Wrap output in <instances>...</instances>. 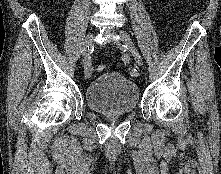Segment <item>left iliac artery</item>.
I'll use <instances>...</instances> for the list:
<instances>
[{
	"instance_id": "1",
	"label": "left iliac artery",
	"mask_w": 221,
	"mask_h": 174,
	"mask_svg": "<svg viewBox=\"0 0 221 174\" xmlns=\"http://www.w3.org/2000/svg\"><path fill=\"white\" fill-rule=\"evenodd\" d=\"M121 59H122V61L124 62V63H129V61H130V56H129V54H127V53H123L122 55H121ZM131 74L132 75H137V70L136 69H134V70H132L131 71Z\"/></svg>"
}]
</instances>
